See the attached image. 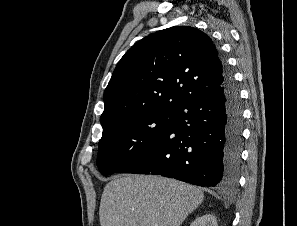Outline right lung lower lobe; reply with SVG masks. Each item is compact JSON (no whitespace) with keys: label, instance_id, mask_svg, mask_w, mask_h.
Wrapping results in <instances>:
<instances>
[{"label":"right lung lower lobe","instance_id":"1","mask_svg":"<svg viewBox=\"0 0 297 226\" xmlns=\"http://www.w3.org/2000/svg\"><path fill=\"white\" fill-rule=\"evenodd\" d=\"M224 81L186 100L172 126L117 173L157 174L199 186L235 187L240 170L243 107L223 62Z\"/></svg>","mask_w":297,"mask_h":226}]
</instances>
